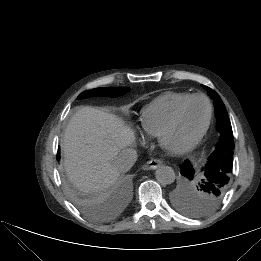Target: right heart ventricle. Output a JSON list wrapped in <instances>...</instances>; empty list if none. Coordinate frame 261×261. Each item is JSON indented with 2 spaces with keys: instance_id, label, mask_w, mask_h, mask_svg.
I'll return each mask as SVG.
<instances>
[{
  "instance_id": "e07e8e85",
  "label": "right heart ventricle",
  "mask_w": 261,
  "mask_h": 261,
  "mask_svg": "<svg viewBox=\"0 0 261 261\" xmlns=\"http://www.w3.org/2000/svg\"><path fill=\"white\" fill-rule=\"evenodd\" d=\"M190 95L188 93L166 92L145 105L140 115L142 132L147 137H158L175 108Z\"/></svg>"
}]
</instances>
